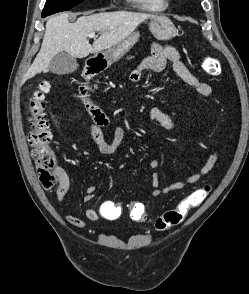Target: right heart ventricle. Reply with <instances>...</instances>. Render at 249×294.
<instances>
[{"label": "right heart ventricle", "instance_id": "e07e8e85", "mask_svg": "<svg viewBox=\"0 0 249 294\" xmlns=\"http://www.w3.org/2000/svg\"><path fill=\"white\" fill-rule=\"evenodd\" d=\"M132 5L144 11H163L168 7L169 0H128Z\"/></svg>", "mask_w": 249, "mask_h": 294}]
</instances>
